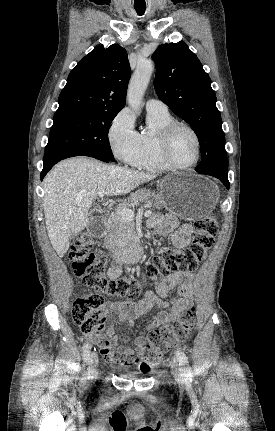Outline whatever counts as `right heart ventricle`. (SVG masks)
<instances>
[{"label": "right heart ventricle", "instance_id": "right-heart-ventricle-1", "mask_svg": "<svg viewBox=\"0 0 275 431\" xmlns=\"http://www.w3.org/2000/svg\"><path fill=\"white\" fill-rule=\"evenodd\" d=\"M173 121L175 120L168 111L148 112V128L140 134V151L131 164L132 166L150 172H163L172 169L160 156L159 135Z\"/></svg>", "mask_w": 275, "mask_h": 431}]
</instances>
